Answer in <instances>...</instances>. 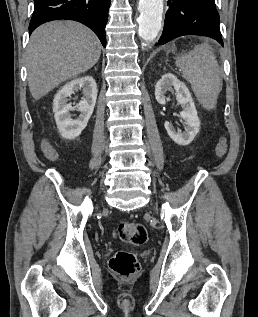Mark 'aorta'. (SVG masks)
Masks as SVG:
<instances>
[{"mask_svg": "<svg viewBox=\"0 0 258 317\" xmlns=\"http://www.w3.org/2000/svg\"><path fill=\"white\" fill-rule=\"evenodd\" d=\"M138 10V34L145 41H153L162 27L163 0H139Z\"/></svg>", "mask_w": 258, "mask_h": 317, "instance_id": "obj_1", "label": "aorta"}]
</instances>
